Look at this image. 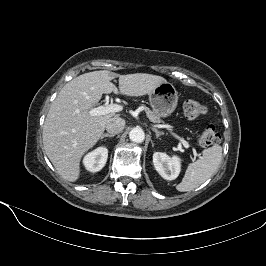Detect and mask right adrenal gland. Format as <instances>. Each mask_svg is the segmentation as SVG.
I'll use <instances>...</instances> for the list:
<instances>
[{
  "label": "right adrenal gland",
  "instance_id": "obj_1",
  "mask_svg": "<svg viewBox=\"0 0 266 266\" xmlns=\"http://www.w3.org/2000/svg\"><path fill=\"white\" fill-rule=\"evenodd\" d=\"M115 136V134H103L102 136H101V139H103V138H105V137H114Z\"/></svg>",
  "mask_w": 266,
  "mask_h": 266
}]
</instances>
